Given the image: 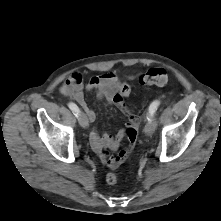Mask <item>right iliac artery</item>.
<instances>
[{"label":"right iliac artery","mask_w":221,"mask_h":221,"mask_svg":"<svg viewBox=\"0 0 221 221\" xmlns=\"http://www.w3.org/2000/svg\"><path fill=\"white\" fill-rule=\"evenodd\" d=\"M69 108L72 110V112L74 113L75 116H78L80 110L78 108V106L75 103L70 102L68 104Z\"/></svg>","instance_id":"right-iliac-artery-1"}]
</instances>
